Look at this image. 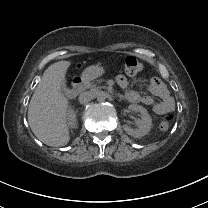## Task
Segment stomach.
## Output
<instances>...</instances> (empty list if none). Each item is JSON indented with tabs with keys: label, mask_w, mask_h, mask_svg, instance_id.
<instances>
[{
	"label": "stomach",
	"mask_w": 208,
	"mask_h": 208,
	"mask_svg": "<svg viewBox=\"0 0 208 208\" xmlns=\"http://www.w3.org/2000/svg\"><path fill=\"white\" fill-rule=\"evenodd\" d=\"M105 72L104 68L100 65H92L87 67L83 74L82 77L84 80H93L95 78L100 77L103 73Z\"/></svg>",
	"instance_id": "obj_1"
}]
</instances>
